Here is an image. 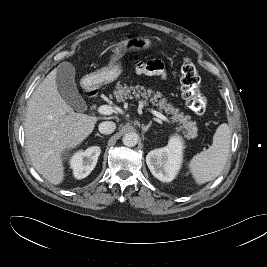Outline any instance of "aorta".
I'll return each mask as SVG.
<instances>
[{
	"label": "aorta",
	"instance_id": "aorta-1",
	"mask_svg": "<svg viewBox=\"0 0 267 267\" xmlns=\"http://www.w3.org/2000/svg\"><path fill=\"white\" fill-rule=\"evenodd\" d=\"M122 142L127 147H134L138 143V135L134 132L127 133L123 136Z\"/></svg>",
	"mask_w": 267,
	"mask_h": 267
}]
</instances>
